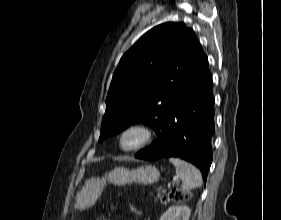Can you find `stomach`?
Returning <instances> with one entry per match:
<instances>
[{
  "mask_svg": "<svg viewBox=\"0 0 281 220\" xmlns=\"http://www.w3.org/2000/svg\"><path fill=\"white\" fill-rule=\"evenodd\" d=\"M159 178V170L152 165H144L132 170L123 167L115 168L102 178L92 177L88 179L77 193L74 207L75 209L85 210L93 206L101 195L106 182L118 186L134 182L147 185L157 182Z\"/></svg>",
  "mask_w": 281,
  "mask_h": 220,
  "instance_id": "0dacf381",
  "label": "stomach"
}]
</instances>
